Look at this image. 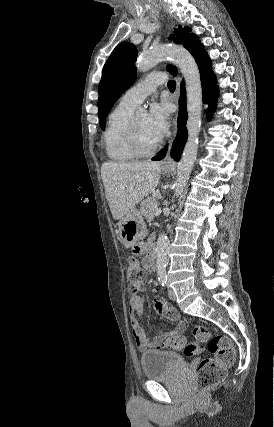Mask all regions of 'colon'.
Masks as SVG:
<instances>
[{
  "label": "colon",
  "instance_id": "1",
  "mask_svg": "<svg viewBox=\"0 0 274 427\" xmlns=\"http://www.w3.org/2000/svg\"><path fill=\"white\" fill-rule=\"evenodd\" d=\"M132 255V256H131ZM131 255L128 256L127 276L129 291L135 293L139 289L143 272L134 256L140 255V246H131ZM192 334L198 344L207 346L211 357L203 358L198 363L196 386L194 395H205L207 389L222 383L227 369L234 364L236 352L233 344L222 334L210 336L206 325H195ZM159 350H177L186 358L196 356L198 347L194 342H187L183 337L171 336L158 343Z\"/></svg>",
  "mask_w": 274,
  "mask_h": 427
}]
</instances>
